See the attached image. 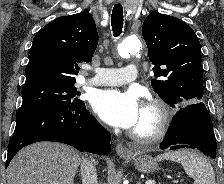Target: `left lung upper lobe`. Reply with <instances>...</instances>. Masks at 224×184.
<instances>
[{"label": "left lung upper lobe", "instance_id": "obj_1", "mask_svg": "<svg viewBox=\"0 0 224 184\" xmlns=\"http://www.w3.org/2000/svg\"><path fill=\"white\" fill-rule=\"evenodd\" d=\"M156 79L153 89L172 107L201 102L204 94L200 42L182 20L152 12L142 26Z\"/></svg>", "mask_w": 224, "mask_h": 184}]
</instances>
